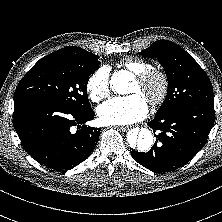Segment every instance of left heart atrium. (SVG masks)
Wrapping results in <instances>:
<instances>
[{
    "label": "left heart atrium",
    "mask_w": 222,
    "mask_h": 222,
    "mask_svg": "<svg viewBox=\"0 0 222 222\" xmlns=\"http://www.w3.org/2000/svg\"><path fill=\"white\" fill-rule=\"evenodd\" d=\"M148 113L147 100L139 93L113 98L97 108L104 124L125 125L142 120Z\"/></svg>",
    "instance_id": "obj_1"
}]
</instances>
